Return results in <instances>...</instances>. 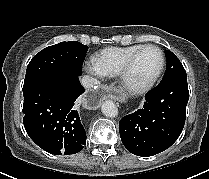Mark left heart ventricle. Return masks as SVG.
I'll return each instance as SVG.
<instances>
[{
  "label": "left heart ventricle",
  "instance_id": "obj_1",
  "mask_svg": "<svg viewBox=\"0 0 209 179\" xmlns=\"http://www.w3.org/2000/svg\"><path fill=\"white\" fill-rule=\"evenodd\" d=\"M160 65L161 55L159 51L154 48L145 50L134 64L129 75V82L132 85L148 82L158 72Z\"/></svg>",
  "mask_w": 209,
  "mask_h": 179
}]
</instances>
